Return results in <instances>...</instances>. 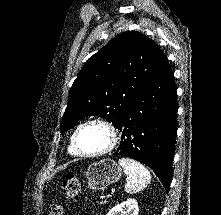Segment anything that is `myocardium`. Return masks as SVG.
<instances>
[{
	"label": "myocardium",
	"mask_w": 221,
	"mask_h": 215,
	"mask_svg": "<svg viewBox=\"0 0 221 215\" xmlns=\"http://www.w3.org/2000/svg\"><path fill=\"white\" fill-rule=\"evenodd\" d=\"M92 124L100 125L107 131L108 136H109V142L104 149H102L98 152H94V153H87V152H83L82 150H80V148L78 146L77 139H78V135H79L80 131L83 128H85L86 126H89ZM118 140H119V133H118L116 126L111 121L104 119V118H92V119H89V120L81 123L76 128V130L72 136V144H73V148H74L75 152L80 156L88 157V158H94V157H99V156H103L105 154H108L116 147V145L118 144Z\"/></svg>",
	"instance_id": "1"
}]
</instances>
